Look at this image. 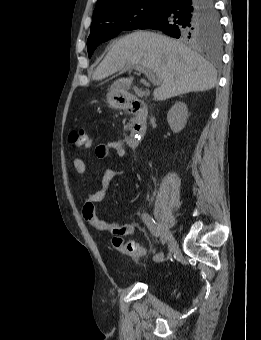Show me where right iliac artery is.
<instances>
[{"label": "right iliac artery", "mask_w": 261, "mask_h": 340, "mask_svg": "<svg viewBox=\"0 0 261 340\" xmlns=\"http://www.w3.org/2000/svg\"><path fill=\"white\" fill-rule=\"evenodd\" d=\"M142 220L146 224L151 234L154 237L158 238L160 235V230H159L157 223L154 221V219L148 213H143ZM163 257H164V253L162 251H159L153 256L152 261L153 263H159L163 260Z\"/></svg>", "instance_id": "82829eb1"}]
</instances>
